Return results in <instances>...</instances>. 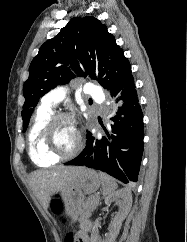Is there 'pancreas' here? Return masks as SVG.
<instances>
[{
	"label": "pancreas",
	"mask_w": 187,
	"mask_h": 242,
	"mask_svg": "<svg viewBox=\"0 0 187 242\" xmlns=\"http://www.w3.org/2000/svg\"><path fill=\"white\" fill-rule=\"evenodd\" d=\"M99 202V196L93 195L86 199L85 204L83 205V210L81 214L83 213L86 216H90L91 212L94 211L98 205Z\"/></svg>",
	"instance_id": "1"
}]
</instances>
